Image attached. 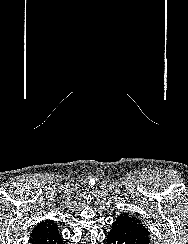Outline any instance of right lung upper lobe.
I'll return each mask as SVG.
<instances>
[{
    "instance_id": "obj_1",
    "label": "right lung upper lobe",
    "mask_w": 188,
    "mask_h": 244,
    "mask_svg": "<svg viewBox=\"0 0 188 244\" xmlns=\"http://www.w3.org/2000/svg\"><path fill=\"white\" fill-rule=\"evenodd\" d=\"M55 225H56V223H54V221H52V220L51 221L46 220V221L40 222L39 224H37L36 227H34L31 236L39 233L41 230H43L45 228H49V227H52Z\"/></svg>"
}]
</instances>
